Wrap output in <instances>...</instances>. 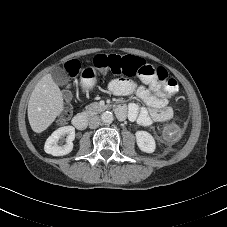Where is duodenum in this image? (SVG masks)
I'll return each mask as SVG.
<instances>
[{
  "instance_id": "1",
  "label": "duodenum",
  "mask_w": 227,
  "mask_h": 227,
  "mask_svg": "<svg viewBox=\"0 0 227 227\" xmlns=\"http://www.w3.org/2000/svg\"><path fill=\"white\" fill-rule=\"evenodd\" d=\"M79 86L84 91H89L92 88V85L84 80L79 82ZM116 113L120 117L126 115V109L122 106L116 108ZM73 126L78 130H85L88 126V118L85 115H76L72 120Z\"/></svg>"
}]
</instances>
